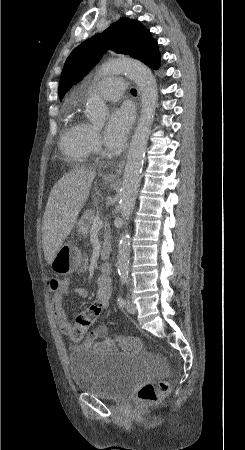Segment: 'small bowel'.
<instances>
[{"label":"small bowel","mask_w":245,"mask_h":450,"mask_svg":"<svg viewBox=\"0 0 245 450\" xmlns=\"http://www.w3.org/2000/svg\"><path fill=\"white\" fill-rule=\"evenodd\" d=\"M112 293V280L108 275H102L99 278L96 301L100 308L107 309L110 305V297ZM65 296H77L79 298H87L88 290L82 285L71 286L70 281L66 280L63 288L52 293L51 310L53 316L65 334H69L72 330V324L69 322L65 309L63 307V299ZM113 346V341L107 335L106 328H98L90 332L84 340L75 344L69 345V349L77 351L80 349H110Z\"/></svg>","instance_id":"obj_1"}]
</instances>
